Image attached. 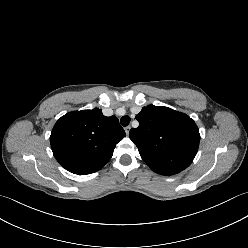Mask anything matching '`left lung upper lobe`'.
Wrapping results in <instances>:
<instances>
[{"instance_id":"1","label":"left lung upper lobe","mask_w":248,"mask_h":248,"mask_svg":"<svg viewBox=\"0 0 248 248\" xmlns=\"http://www.w3.org/2000/svg\"><path fill=\"white\" fill-rule=\"evenodd\" d=\"M138 128L129 132L146 164L161 175L187 168L199 147L200 134L193 119L168 107L148 105L137 114Z\"/></svg>"}]
</instances>
